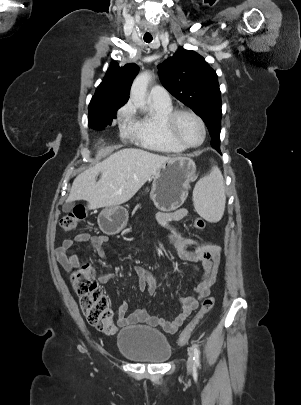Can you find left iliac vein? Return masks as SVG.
I'll list each match as a JSON object with an SVG mask.
<instances>
[{
  "label": "left iliac vein",
  "instance_id": "4c4485c4",
  "mask_svg": "<svg viewBox=\"0 0 301 405\" xmlns=\"http://www.w3.org/2000/svg\"><path fill=\"white\" fill-rule=\"evenodd\" d=\"M193 364H194L193 353H192L191 350H189V352H188V360H187V370H188V372L192 371Z\"/></svg>",
  "mask_w": 301,
  "mask_h": 405
}]
</instances>
